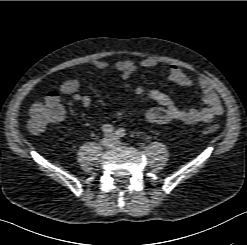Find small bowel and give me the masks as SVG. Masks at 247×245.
Listing matches in <instances>:
<instances>
[{
    "label": "small bowel",
    "instance_id": "c3829d8e",
    "mask_svg": "<svg viewBox=\"0 0 247 245\" xmlns=\"http://www.w3.org/2000/svg\"><path fill=\"white\" fill-rule=\"evenodd\" d=\"M90 65L99 70L110 67V64L105 60H94ZM156 65L157 60L154 58H146L140 62L127 59L116 62L114 68L120 73L123 79H128L138 70ZM167 79L178 85L198 87L202 94V102L205 104V107L183 109L178 107L168 94L160 90H145L140 88L136 91L140 98L153 101L157 104L156 107L150 108L145 113V118L148 122L158 125L167 124L172 121H180L185 124L209 123L223 113L221 99L209 81L199 77H192L175 65L169 68ZM82 89L83 84L79 79L64 81L60 84L58 91L47 93L45 102L57 104L63 111L60 104V94H64L71 96L74 101L79 102L84 108H88L91 105V99L82 93ZM124 116L125 110H120L117 113L118 118H123Z\"/></svg>",
    "mask_w": 247,
    "mask_h": 245
}]
</instances>
